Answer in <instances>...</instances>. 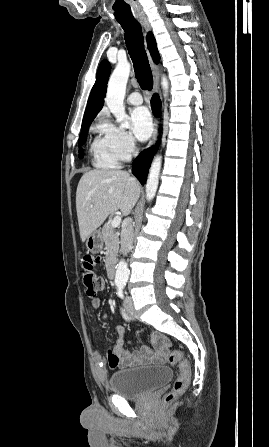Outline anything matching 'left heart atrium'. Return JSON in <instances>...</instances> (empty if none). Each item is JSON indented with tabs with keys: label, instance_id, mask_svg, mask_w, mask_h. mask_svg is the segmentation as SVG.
Returning <instances> with one entry per match:
<instances>
[{
	"label": "left heart atrium",
	"instance_id": "obj_1",
	"mask_svg": "<svg viewBox=\"0 0 269 447\" xmlns=\"http://www.w3.org/2000/svg\"><path fill=\"white\" fill-rule=\"evenodd\" d=\"M131 130L140 141H146L151 136L153 119L146 107H138L131 112Z\"/></svg>",
	"mask_w": 269,
	"mask_h": 447
}]
</instances>
